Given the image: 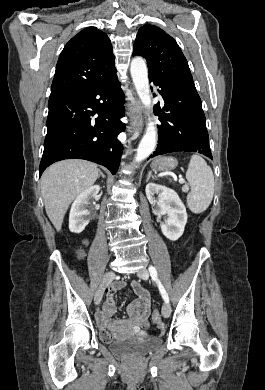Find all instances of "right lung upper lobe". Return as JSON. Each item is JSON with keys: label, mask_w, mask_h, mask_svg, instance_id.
<instances>
[{"label": "right lung upper lobe", "mask_w": 265, "mask_h": 390, "mask_svg": "<svg viewBox=\"0 0 265 390\" xmlns=\"http://www.w3.org/2000/svg\"><path fill=\"white\" fill-rule=\"evenodd\" d=\"M114 59L105 33L95 27L83 29L69 40L59 56L50 96L82 87L109 73L115 69Z\"/></svg>", "instance_id": "cb5924a9"}]
</instances>
